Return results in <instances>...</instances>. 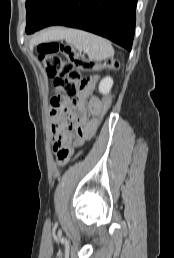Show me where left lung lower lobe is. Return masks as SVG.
<instances>
[{"mask_svg":"<svg viewBox=\"0 0 174 258\" xmlns=\"http://www.w3.org/2000/svg\"><path fill=\"white\" fill-rule=\"evenodd\" d=\"M137 0H59L36 31L63 25L103 36L131 50Z\"/></svg>","mask_w":174,"mask_h":258,"instance_id":"1","label":"left lung lower lobe"}]
</instances>
